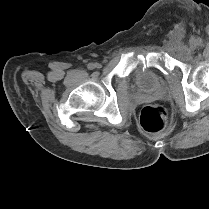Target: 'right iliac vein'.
I'll return each instance as SVG.
<instances>
[{
  "mask_svg": "<svg viewBox=\"0 0 209 209\" xmlns=\"http://www.w3.org/2000/svg\"><path fill=\"white\" fill-rule=\"evenodd\" d=\"M96 67H97V68H101V65H100V64H96Z\"/></svg>",
  "mask_w": 209,
  "mask_h": 209,
  "instance_id": "63e3f726",
  "label": "right iliac vein"
}]
</instances>
